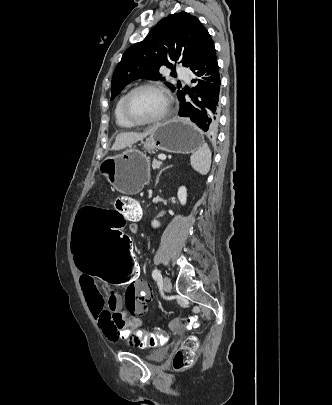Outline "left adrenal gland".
<instances>
[{
  "mask_svg": "<svg viewBox=\"0 0 332 405\" xmlns=\"http://www.w3.org/2000/svg\"><path fill=\"white\" fill-rule=\"evenodd\" d=\"M167 168H169V167H167ZM167 168H164V169H162V170L159 172V174H158V176H157V179H156V183H155V185H157V184H158V181H159V176L161 175V173H162L164 170H166Z\"/></svg>",
  "mask_w": 332,
  "mask_h": 405,
  "instance_id": "obj_1",
  "label": "left adrenal gland"
}]
</instances>
